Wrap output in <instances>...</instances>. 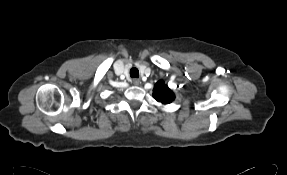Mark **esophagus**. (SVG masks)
Wrapping results in <instances>:
<instances>
[{
	"label": "esophagus",
	"instance_id": "obj_1",
	"mask_svg": "<svg viewBox=\"0 0 287 175\" xmlns=\"http://www.w3.org/2000/svg\"><path fill=\"white\" fill-rule=\"evenodd\" d=\"M132 83H133L134 85H139V84L141 83V81H140V79L134 78V79L132 80Z\"/></svg>",
	"mask_w": 287,
	"mask_h": 175
}]
</instances>
